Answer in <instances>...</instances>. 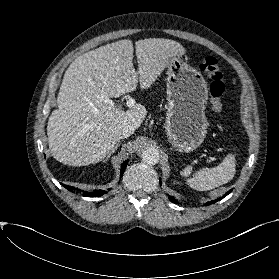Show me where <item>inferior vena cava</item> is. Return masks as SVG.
I'll list each match as a JSON object with an SVG mask.
<instances>
[{"instance_id": "inferior-vena-cava-1", "label": "inferior vena cava", "mask_w": 279, "mask_h": 279, "mask_svg": "<svg viewBox=\"0 0 279 279\" xmlns=\"http://www.w3.org/2000/svg\"><path fill=\"white\" fill-rule=\"evenodd\" d=\"M135 129L133 126H125L120 133L119 138H127L134 133Z\"/></svg>"}]
</instances>
